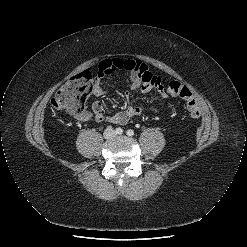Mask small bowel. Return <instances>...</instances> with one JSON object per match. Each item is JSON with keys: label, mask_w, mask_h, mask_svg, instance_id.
Wrapping results in <instances>:
<instances>
[{"label": "small bowel", "mask_w": 247, "mask_h": 247, "mask_svg": "<svg viewBox=\"0 0 247 247\" xmlns=\"http://www.w3.org/2000/svg\"><path fill=\"white\" fill-rule=\"evenodd\" d=\"M121 71L130 73V87L133 91H141L149 93L155 90L159 93L162 100H165L169 95L166 87L163 85L161 78L152 73L146 64L133 59H105L100 62L98 67V74L93 85V94L96 97H101L105 94V89L102 85L101 79L104 76L118 74ZM128 98V92L126 94ZM163 105V102L160 104ZM160 107L150 108L153 112H158ZM144 112V108L129 104L126 108L115 112L113 114L105 115L104 108L99 101H94L92 104V111H84L76 118L82 122H108L112 124H125L131 118L139 116Z\"/></svg>", "instance_id": "1"}]
</instances>
